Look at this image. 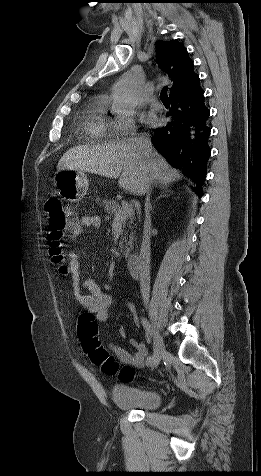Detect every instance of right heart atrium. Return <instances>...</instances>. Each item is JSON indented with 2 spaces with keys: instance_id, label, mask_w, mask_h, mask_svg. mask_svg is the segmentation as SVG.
<instances>
[{
  "instance_id": "d8ad5b80",
  "label": "right heart atrium",
  "mask_w": 261,
  "mask_h": 476,
  "mask_svg": "<svg viewBox=\"0 0 261 476\" xmlns=\"http://www.w3.org/2000/svg\"><path fill=\"white\" fill-rule=\"evenodd\" d=\"M135 131L136 124L133 114L118 117L110 123V135L112 137H126L133 135Z\"/></svg>"
}]
</instances>
